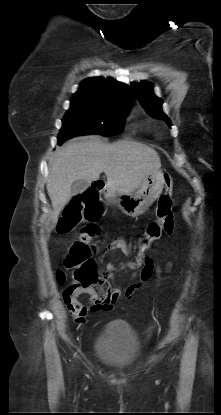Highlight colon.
<instances>
[{"label":"colon","mask_w":221,"mask_h":415,"mask_svg":"<svg viewBox=\"0 0 221 415\" xmlns=\"http://www.w3.org/2000/svg\"><path fill=\"white\" fill-rule=\"evenodd\" d=\"M164 181L165 192L158 200L156 209L157 218L146 226L144 235L138 242L139 249L132 257V262L135 265V268L133 269L134 273L145 270V263L147 262L146 249L160 236L164 228H166L173 220L171 210L173 181L168 174L165 175ZM98 218L99 207L95 194L90 190L72 199L65 208L57 225L58 234H68L72 232L82 220L87 222L82 228L78 239L72 243L64 259L65 268L71 270L75 280L85 286L99 280L97 258L94 255L96 247L89 244V241L100 233V227L96 223ZM105 265L107 267H113L117 266L118 262L107 260ZM104 274L106 278H111L114 271L105 270ZM56 279L58 283L62 285L66 279L65 273L63 271H58Z\"/></svg>","instance_id":"obj_1"}]
</instances>
